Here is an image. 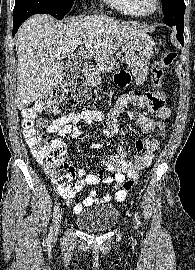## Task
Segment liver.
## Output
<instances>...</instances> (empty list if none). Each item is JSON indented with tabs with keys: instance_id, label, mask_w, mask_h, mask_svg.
I'll return each mask as SVG.
<instances>
[{
	"instance_id": "1",
	"label": "liver",
	"mask_w": 195,
	"mask_h": 270,
	"mask_svg": "<svg viewBox=\"0 0 195 270\" xmlns=\"http://www.w3.org/2000/svg\"><path fill=\"white\" fill-rule=\"evenodd\" d=\"M145 34L141 27L93 15L58 22L46 14L27 19L16 34L17 106L22 109L57 87L66 67L61 55L73 53L83 40L86 57H109L132 36Z\"/></svg>"
}]
</instances>
